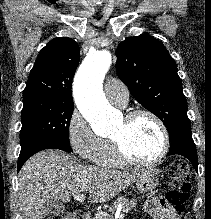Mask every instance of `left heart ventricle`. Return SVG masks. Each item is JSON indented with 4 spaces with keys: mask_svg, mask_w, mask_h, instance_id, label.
Listing matches in <instances>:
<instances>
[{
    "mask_svg": "<svg viewBox=\"0 0 211 219\" xmlns=\"http://www.w3.org/2000/svg\"><path fill=\"white\" fill-rule=\"evenodd\" d=\"M112 138L119 139L131 157L142 161L155 158L162 145L158 125L147 116H140L129 123L123 119L114 130Z\"/></svg>",
    "mask_w": 211,
    "mask_h": 219,
    "instance_id": "b2bd125f",
    "label": "left heart ventricle"
}]
</instances>
